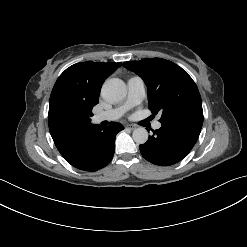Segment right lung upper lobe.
Instances as JSON below:
<instances>
[{
    "label": "right lung upper lobe",
    "instance_id": "right-lung-upper-lobe-1",
    "mask_svg": "<svg viewBox=\"0 0 247 247\" xmlns=\"http://www.w3.org/2000/svg\"><path fill=\"white\" fill-rule=\"evenodd\" d=\"M120 66L121 63L109 62L76 63L60 75L49 100L48 125L55 145L75 135L55 124L58 110L62 106L94 107L99 102L103 82Z\"/></svg>",
    "mask_w": 247,
    "mask_h": 247
}]
</instances>
